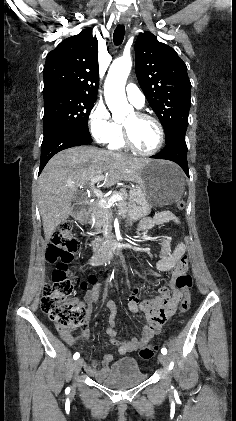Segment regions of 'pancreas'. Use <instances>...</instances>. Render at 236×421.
<instances>
[{
	"label": "pancreas",
	"instance_id": "cf45deb5",
	"mask_svg": "<svg viewBox=\"0 0 236 421\" xmlns=\"http://www.w3.org/2000/svg\"><path fill=\"white\" fill-rule=\"evenodd\" d=\"M113 194H121L122 196V200H117L116 206H118V215L125 219L127 215V194H125V192H121V190H114ZM89 211L90 217L93 219V227L96 229L97 233H101L102 227H108V229H111L113 219L112 208H104L102 204H99V200H96V202L91 204ZM102 241H104V239H95V241H92L90 245V247H92V251H99L100 243H102Z\"/></svg>",
	"mask_w": 236,
	"mask_h": 421
}]
</instances>
